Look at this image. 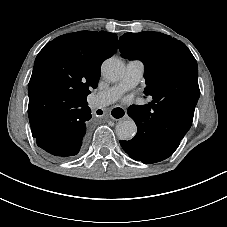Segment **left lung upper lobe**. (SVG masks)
Here are the masks:
<instances>
[{
  "instance_id": "left-lung-upper-lobe-1",
  "label": "left lung upper lobe",
  "mask_w": 227,
  "mask_h": 227,
  "mask_svg": "<svg viewBox=\"0 0 227 227\" xmlns=\"http://www.w3.org/2000/svg\"><path fill=\"white\" fill-rule=\"evenodd\" d=\"M119 50L123 58L144 63L146 95L157 101L181 99L187 93L198 98L197 62L180 40L152 31L125 33L119 39Z\"/></svg>"
}]
</instances>
